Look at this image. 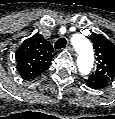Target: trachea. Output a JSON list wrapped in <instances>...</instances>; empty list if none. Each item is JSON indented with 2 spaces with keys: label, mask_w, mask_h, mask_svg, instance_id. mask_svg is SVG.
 I'll return each instance as SVG.
<instances>
[{
  "label": "trachea",
  "mask_w": 115,
  "mask_h": 119,
  "mask_svg": "<svg viewBox=\"0 0 115 119\" xmlns=\"http://www.w3.org/2000/svg\"><path fill=\"white\" fill-rule=\"evenodd\" d=\"M67 40L65 38H60L55 43V49L60 50L66 47Z\"/></svg>",
  "instance_id": "obj_1"
}]
</instances>
